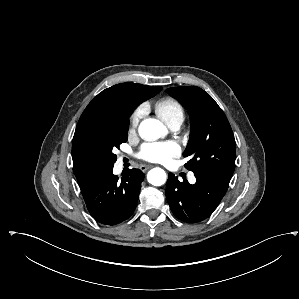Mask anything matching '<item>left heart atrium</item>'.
Masks as SVG:
<instances>
[{
  "label": "left heart atrium",
  "instance_id": "obj_1",
  "mask_svg": "<svg viewBox=\"0 0 299 299\" xmlns=\"http://www.w3.org/2000/svg\"><path fill=\"white\" fill-rule=\"evenodd\" d=\"M180 152L179 145L173 141L150 142L141 146L139 156L149 162L166 164L177 157Z\"/></svg>",
  "mask_w": 299,
  "mask_h": 299
}]
</instances>
